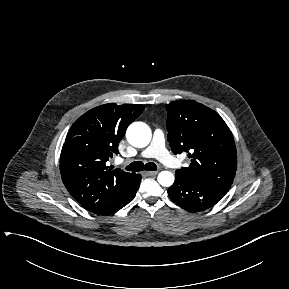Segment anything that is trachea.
<instances>
[{
	"instance_id": "1",
	"label": "trachea",
	"mask_w": 289,
	"mask_h": 289,
	"mask_svg": "<svg viewBox=\"0 0 289 289\" xmlns=\"http://www.w3.org/2000/svg\"><path fill=\"white\" fill-rule=\"evenodd\" d=\"M143 168L145 170H149V171H156L157 170L156 164H154L152 162L147 163L145 165L142 162H133L126 167V169L128 171H142Z\"/></svg>"
}]
</instances>
